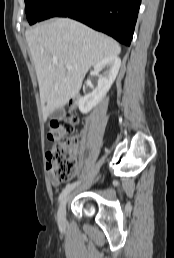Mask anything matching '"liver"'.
Listing matches in <instances>:
<instances>
[{
  "label": "liver",
  "mask_w": 174,
  "mask_h": 258,
  "mask_svg": "<svg viewBox=\"0 0 174 258\" xmlns=\"http://www.w3.org/2000/svg\"><path fill=\"white\" fill-rule=\"evenodd\" d=\"M25 37L35 65L44 119L78 94L94 64L121 52L113 39L68 18L37 25L27 30ZM66 65L73 68L68 70Z\"/></svg>",
  "instance_id": "6515ba94"
}]
</instances>
